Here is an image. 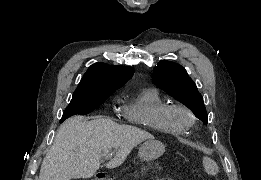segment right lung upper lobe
I'll list each match as a JSON object with an SVG mask.
<instances>
[{
  "instance_id": "1",
  "label": "right lung upper lobe",
  "mask_w": 261,
  "mask_h": 180,
  "mask_svg": "<svg viewBox=\"0 0 261 180\" xmlns=\"http://www.w3.org/2000/svg\"><path fill=\"white\" fill-rule=\"evenodd\" d=\"M133 74L132 67L95 63L88 68L75 93L111 95L131 79Z\"/></svg>"
}]
</instances>
